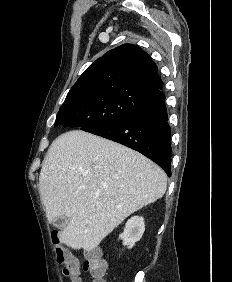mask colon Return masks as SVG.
<instances>
[{"instance_id":"obj_1","label":"colon","mask_w":232,"mask_h":282,"mask_svg":"<svg viewBox=\"0 0 232 282\" xmlns=\"http://www.w3.org/2000/svg\"><path fill=\"white\" fill-rule=\"evenodd\" d=\"M53 241L56 245L55 254L57 262L64 265L63 272L66 276L76 279L84 271L92 278V282H106L107 264L96 251L89 252L86 259L80 262L77 257L59 246L56 232L53 233Z\"/></svg>"}]
</instances>
